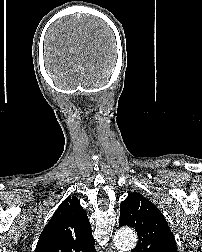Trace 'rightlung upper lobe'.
<instances>
[{
    "label": "right lung upper lobe",
    "instance_id": "right-lung-upper-lobe-1",
    "mask_svg": "<svg viewBox=\"0 0 202 252\" xmlns=\"http://www.w3.org/2000/svg\"><path fill=\"white\" fill-rule=\"evenodd\" d=\"M87 213L77 197L65 199L39 236L35 252H96Z\"/></svg>",
    "mask_w": 202,
    "mask_h": 252
}]
</instances>
